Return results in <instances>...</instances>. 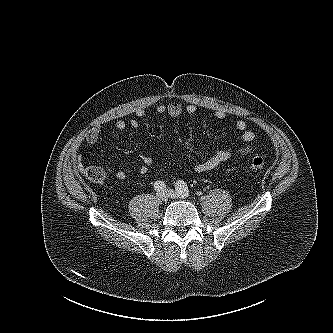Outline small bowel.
Returning <instances> with one entry per match:
<instances>
[{"label":"small bowel","mask_w":333,"mask_h":333,"mask_svg":"<svg viewBox=\"0 0 333 333\" xmlns=\"http://www.w3.org/2000/svg\"><path fill=\"white\" fill-rule=\"evenodd\" d=\"M156 111L160 115L167 114L172 118H179L184 113L195 114L197 108L194 104H187L186 106H182L180 103L171 102L169 104L161 103L157 105ZM137 116H144V111L138 110ZM214 117L218 120H223L225 118V113L221 110H217L214 112ZM138 125L139 123L136 119H131L128 122L118 119L114 122V127L120 132H123L128 128L136 129ZM235 128L240 133V140L243 143V146L239 150V155L246 156L253 151L252 142L255 140L256 135L252 130H249L248 124L245 120H237L235 122ZM100 137L101 128L99 126H95L86 133L85 140L89 144H95L99 141ZM231 156V149L214 150L210 153L206 161L198 163L194 166V171L197 173L213 171L220 167L223 163L228 161ZM141 161L142 164L139 166L138 172L141 175H145L148 172L150 165L153 163V159L149 155H143L141 156ZM72 166L75 171L83 174L93 182H101L112 174V170L110 168H103L98 166H84L80 156H76L73 159ZM114 176L118 180H124L127 177V172L121 169L116 171Z\"/></svg>","instance_id":"c3829d8e"}]
</instances>
